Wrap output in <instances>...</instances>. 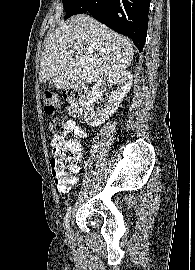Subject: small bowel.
<instances>
[{
  "mask_svg": "<svg viewBox=\"0 0 195 270\" xmlns=\"http://www.w3.org/2000/svg\"><path fill=\"white\" fill-rule=\"evenodd\" d=\"M65 126H66L65 135L63 137H53L51 140V147L53 151H55L59 146H61L64 143L65 137L68 134H74L81 139L87 137L86 131L83 128H81L75 121L67 120L65 122Z\"/></svg>",
  "mask_w": 195,
  "mask_h": 270,
  "instance_id": "1",
  "label": "small bowel"
}]
</instances>
